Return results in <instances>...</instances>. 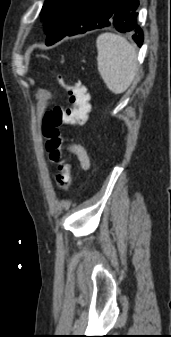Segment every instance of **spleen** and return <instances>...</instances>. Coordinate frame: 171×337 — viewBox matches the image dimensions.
<instances>
[{
  "instance_id": "obj_1",
  "label": "spleen",
  "mask_w": 171,
  "mask_h": 337,
  "mask_svg": "<svg viewBox=\"0 0 171 337\" xmlns=\"http://www.w3.org/2000/svg\"><path fill=\"white\" fill-rule=\"evenodd\" d=\"M98 71L114 94L125 92L137 71V52L124 37L102 33L96 41Z\"/></svg>"
}]
</instances>
